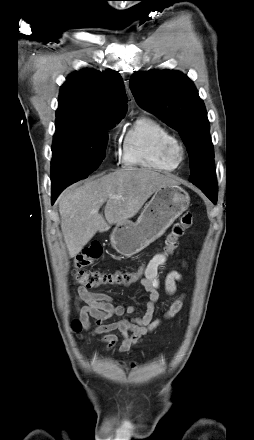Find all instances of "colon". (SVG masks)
<instances>
[{
    "label": "colon",
    "mask_w": 254,
    "mask_h": 440,
    "mask_svg": "<svg viewBox=\"0 0 254 440\" xmlns=\"http://www.w3.org/2000/svg\"><path fill=\"white\" fill-rule=\"evenodd\" d=\"M193 225V215L189 212L184 213L179 222L173 227L171 233L166 237L164 252L171 254L179 245V239L184 230ZM103 249L99 243L91 244L79 252L73 264V275L76 282L85 288H96L102 285L126 286L137 281L145 271L143 266L132 270H86L85 268L100 259ZM82 324L75 321L73 328L80 331Z\"/></svg>",
    "instance_id": "obj_1"
}]
</instances>
